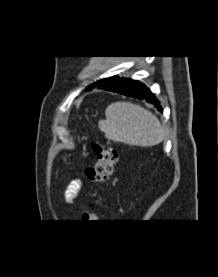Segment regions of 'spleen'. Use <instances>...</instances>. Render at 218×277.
I'll list each match as a JSON object with an SVG mask.
<instances>
[{"mask_svg": "<svg viewBox=\"0 0 218 277\" xmlns=\"http://www.w3.org/2000/svg\"><path fill=\"white\" fill-rule=\"evenodd\" d=\"M105 115L106 120L99 121L98 126L109 140L149 147L164 139V130L158 118L137 104L112 103L106 108Z\"/></svg>", "mask_w": 218, "mask_h": 277, "instance_id": "1", "label": "spleen"}]
</instances>
